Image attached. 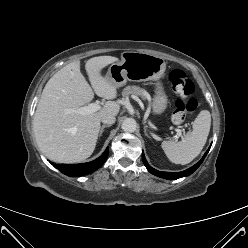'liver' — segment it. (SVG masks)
Wrapping results in <instances>:
<instances>
[{
    "mask_svg": "<svg viewBox=\"0 0 248 248\" xmlns=\"http://www.w3.org/2000/svg\"><path fill=\"white\" fill-rule=\"evenodd\" d=\"M118 61L117 57L99 56L87 60L85 69L91 83L80 71V61H73L50 78L37 105L33 129L42 153L58 163H77L90 157L96 147L101 118L116 116L120 105L107 101L101 110L91 114L68 113L94 98L112 100L117 87L102 76L103 68Z\"/></svg>",
    "mask_w": 248,
    "mask_h": 248,
    "instance_id": "6515ba94",
    "label": "liver"
}]
</instances>
